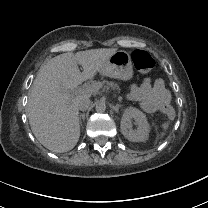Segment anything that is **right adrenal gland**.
Returning <instances> with one entry per match:
<instances>
[{"mask_svg": "<svg viewBox=\"0 0 208 208\" xmlns=\"http://www.w3.org/2000/svg\"><path fill=\"white\" fill-rule=\"evenodd\" d=\"M84 116H85L84 114H81V116H80V118H79L80 123H82V119H84V118H83Z\"/></svg>", "mask_w": 208, "mask_h": 208, "instance_id": "1", "label": "right adrenal gland"}]
</instances>
